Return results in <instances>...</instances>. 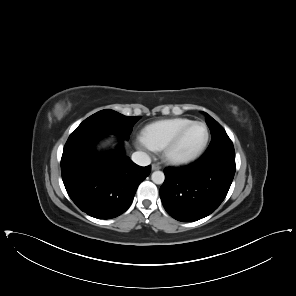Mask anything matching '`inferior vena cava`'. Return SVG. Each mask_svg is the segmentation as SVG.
<instances>
[{"instance_id": "inferior-vena-cava-1", "label": "inferior vena cava", "mask_w": 296, "mask_h": 296, "mask_svg": "<svg viewBox=\"0 0 296 296\" xmlns=\"http://www.w3.org/2000/svg\"><path fill=\"white\" fill-rule=\"evenodd\" d=\"M132 161L139 166H147L151 163V158L145 152L137 151L132 154Z\"/></svg>"}]
</instances>
